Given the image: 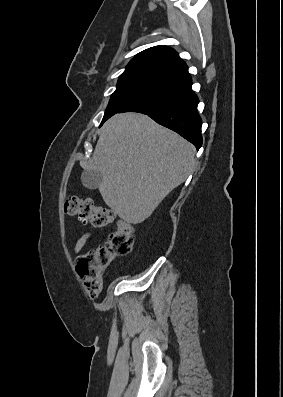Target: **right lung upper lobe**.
<instances>
[{
	"instance_id": "right-lung-upper-lobe-1",
	"label": "right lung upper lobe",
	"mask_w": 283,
	"mask_h": 397,
	"mask_svg": "<svg viewBox=\"0 0 283 397\" xmlns=\"http://www.w3.org/2000/svg\"><path fill=\"white\" fill-rule=\"evenodd\" d=\"M140 72L164 80L169 85L189 77L186 63L178 53L165 45L154 46L138 53L122 74Z\"/></svg>"
}]
</instances>
